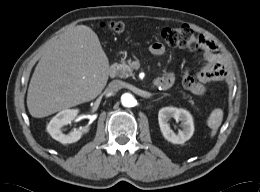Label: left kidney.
<instances>
[{"label":"left kidney","mask_w":260,"mask_h":192,"mask_svg":"<svg viewBox=\"0 0 260 192\" xmlns=\"http://www.w3.org/2000/svg\"><path fill=\"white\" fill-rule=\"evenodd\" d=\"M172 118L181 122L182 130H179L178 134L173 132L168 123ZM158 121L163 136L173 144H183L193 135V118L191 114L185 109L164 107L159 110Z\"/></svg>","instance_id":"left-kidney-1"}]
</instances>
